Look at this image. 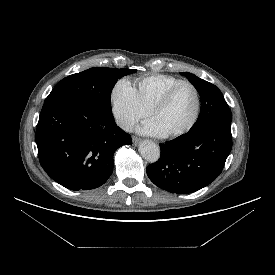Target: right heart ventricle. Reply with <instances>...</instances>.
I'll list each match as a JSON object with an SVG mask.
<instances>
[{
	"mask_svg": "<svg viewBox=\"0 0 275 275\" xmlns=\"http://www.w3.org/2000/svg\"><path fill=\"white\" fill-rule=\"evenodd\" d=\"M181 81V79L170 75L153 74L139 79L136 90L143 105L151 111L162 95Z\"/></svg>",
	"mask_w": 275,
	"mask_h": 275,
	"instance_id": "1",
	"label": "right heart ventricle"
}]
</instances>
